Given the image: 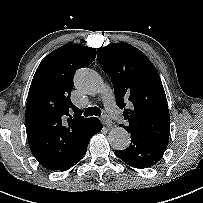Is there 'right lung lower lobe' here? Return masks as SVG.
<instances>
[{
	"instance_id": "obj_1",
	"label": "right lung lower lobe",
	"mask_w": 203,
	"mask_h": 203,
	"mask_svg": "<svg viewBox=\"0 0 203 203\" xmlns=\"http://www.w3.org/2000/svg\"><path fill=\"white\" fill-rule=\"evenodd\" d=\"M102 129V123L97 119L94 124L92 125L89 133L84 137L81 144L76 149L75 153L71 157V159L64 165V167L61 169V171H65L69 169L70 167L74 166L76 163H78L82 157L85 155L87 151V146L89 139L96 134L97 132L101 131Z\"/></svg>"
}]
</instances>
